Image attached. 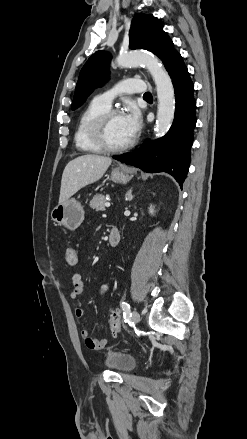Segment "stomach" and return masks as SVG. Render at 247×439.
I'll return each instance as SVG.
<instances>
[{"instance_id":"0dacf381","label":"stomach","mask_w":247,"mask_h":439,"mask_svg":"<svg viewBox=\"0 0 247 439\" xmlns=\"http://www.w3.org/2000/svg\"><path fill=\"white\" fill-rule=\"evenodd\" d=\"M133 176L128 169L115 168L111 172V180L122 184L129 182ZM51 218L59 225L75 230L84 220V209L75 199H68L52 210Z\"/></svg>"}]
</instances>
